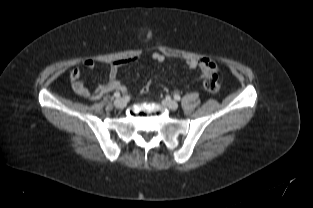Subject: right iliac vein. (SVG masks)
Masks as SVG:
<instances>
[{
	"mask_svg": "<svg viewBox=\"0 0 313 208\" xmlns=\"http://www.w3.org/2000/svg\"><path fill=\"white\" fill-rule=\"evenodd\" d=\"M127 103L123 98H118L114 101V106L118 109L126 107Z\"/></svg>",
	"mask_w": 313,
	"mask_h": 208,
	"instance_id": "obj_1",
	"label": "right iliac vein"
}]
</instances>
